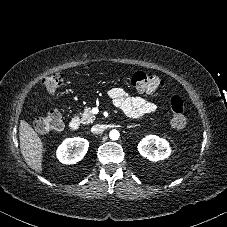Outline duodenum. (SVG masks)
I'll list each match as a JSON object with an SVG mask.
<instances>
[{
  "label": "duodenum",
  "instance_id": "410a0bca",
  "mask_svg": "<svg viewBox=\"0 0 227 227\" xmlns=\"http://www.w3.org/2000/svg\"><path fill=\"white\" fill-rule=\"evenodd\" d=\"M69 128L72 131H77L80 128V120L78 118H72L69 122Z\"/></svg>",
  "mask_w": 227,
  "mask_h": 227
}]
</instances>
